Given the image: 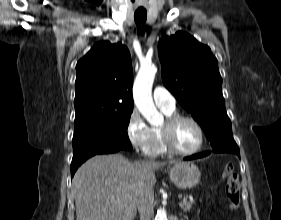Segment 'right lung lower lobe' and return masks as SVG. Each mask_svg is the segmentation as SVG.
Instances as JSON below:
<instances>
[{"instance_id": "obj_1", "label": "right lung lower lobe", "mask_w": 281, "mask_h": 220, "mask_svg": "<svg viewBox=\"0 0 281 220\" xmlns=\"http://www.w3.org/2000/svg\"><path fill=\"white\" fill-rule=\"evenodd\" d=\"M118 151H122V149L113 147V148H108V149L99 150V151H96V150L86 151V152L73 156L72 163H71V175L73 176L75 174L77 168L88 158H90L94 155H97V154H110V153H116Z\"/></svg>"}]
</instances>
